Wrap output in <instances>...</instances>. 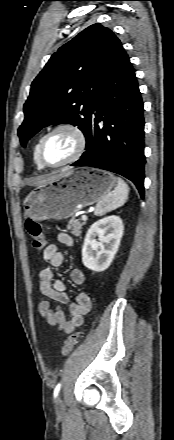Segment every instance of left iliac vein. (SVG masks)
Instances as JSON below:
<instances>
[{
    "instance_id": "left-iliac-vein-1",
    "label": "left iliac vein",
    "mask_w": 174,
    "mask_h": 440,
    "mask_svg": "<svg viewBox=\"0 0 174 440\" xmlns=\"http://www.w3.org/2000/svg\"><path fill=\"white\" fill-rule=\"evenodd\" d=\"M56 413L57 414H63L65 412V404L63 402V400L61 399V397L59 396L57 398V402H56Z\"/></svg>"
}]
</instances>
